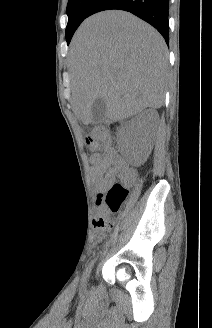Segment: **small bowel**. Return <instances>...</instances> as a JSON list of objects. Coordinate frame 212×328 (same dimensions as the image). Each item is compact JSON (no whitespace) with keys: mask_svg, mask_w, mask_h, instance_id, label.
Listing matches in <instances>:
<instances>
[{"mask_svg":"<svg viewBox=\"0 0 212 328\" xmlns=\"http://www.w3.org/2000/svg\"><path fill=\"white\" fill-rule=\"evenodd\" d=\"M93 149L96 153L90 157L92 164L91 173L100 188L104 189L108 187L117 176L121 177L127 184L134 181L135 171L126 166L113 148L107 145L97 144ZM94 224L96 226V220Z\"/></svg>","mask_w":212,"mask_h":328,"instance_id":"1","label":"small bowel"}]
</instances>
